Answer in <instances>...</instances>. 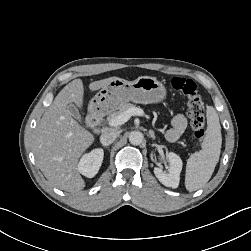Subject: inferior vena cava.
Listing matches in <instances>:
<instances>
[{"mask_svg": "<svg viewBox=\"0 0 251 251\" xmlns=\"http://www.w3.org/2000/svg\"><path fill=\"white\" fill-rule=\"evenodd\" d=\"M120 132L118 130H108L105 131L101 136H100V142L104 146H108L112 144L115 139L119 136Z\"/></svg>", "mask_w": 251, "mask_h": 251, "instance_id": "602c4592", "label": "inferior vena cava"}]
</instances>
